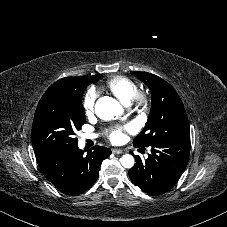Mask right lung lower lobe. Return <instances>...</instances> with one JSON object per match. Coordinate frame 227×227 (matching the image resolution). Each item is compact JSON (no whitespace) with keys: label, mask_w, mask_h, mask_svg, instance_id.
<instances>
[{"label":"right lung lower lobe","mask_w":227,"mask_h":227,"mask_svg":"<svg viewBox=\"0 0 227 227\" xmlns=\"http://www.w3.org/2000/svg\"><path fill=\"white\" fill-rule=\"evenodd\" d=\"M110 154V149L94 146L84 155L76 144L47 151L36 156V160L45 177L58 190L67 195H77L95 183L102 161Z\"/></svg>","instance_id":"98d812e1"}]
</instances>
